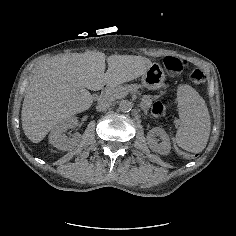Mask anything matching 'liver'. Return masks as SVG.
I'll use <instances>...</instances> for the list:
<instances>
[{"label": "liver", "mask_w": 236, "mask_h": 236, "mask_svg": "<svg viewBox=\"0 0 236 236\" xmlns=\"http://www.w3.org/2000/svg\"><path fill=\"white\" fill-rule=\"evenodd\" d=\"M108 69L105 72L106 62ZM148 59L111 55L87 50L43 58L23 100L21 120L25 135L39 143L54 128L72 116L88 110L93 96L104 85L114 88L132 81L146 71Z\"/></svg>", "instance_id": "liver-1"}]
</instances>
